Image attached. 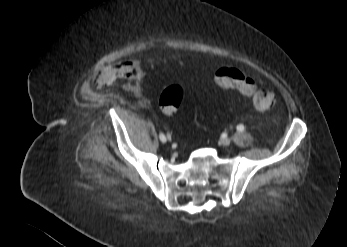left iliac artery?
I'll use <instances>...</instances> for the list:
<instances>
[{
  "mask_svg": "<svg viewBox=\"0 0 347 247\" xmlns=\"http://www.w3.org/2000/svg\"><path fill=\"white\" fill-rule=\"evenodd\" d=\"M237 130H238L239 132H243V131L245 130L244 125L239 124V125L237 126Z\"/></svg>",
  "mask_w": 347,
  "mask_h": 247,
  "instance_id": "44dca946",
  "label": "left iliac artery"
}]
</instances>
